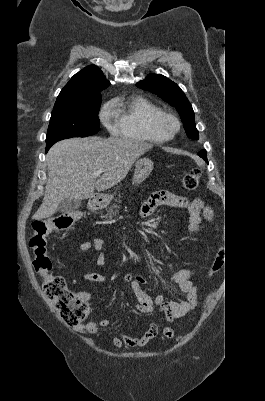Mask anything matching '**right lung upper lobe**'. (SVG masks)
<instances>
[{
    "label": "right lung upper lobe",
    "mask_w": 265,
    "mask_h": 401,
    "mask_svg": "<svg viewBox=\"0 0 265 401\" xmlns=\"http://www.w3.org/2000/svg\"><path fill=\"white\" fill-rule=\"evenodd\" d=\"M110 85L102 71L90 65L75 74L61 90L54 106H59L71 101L101 97V90Z\"/></svg>",
    "instance_id": "1"
}]
</instances>
